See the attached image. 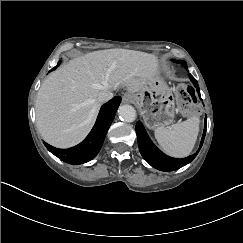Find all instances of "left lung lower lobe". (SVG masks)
Returning a JSON list of instances; mask_svg holds the SVG:
<instances>
[{"mask_svg": "<svg viewBox=\"0 0 243 243\" xmlns=\"http://www.w3.org/2000/svg\"><path fill=\"white\" fill-rule=\"evenodd\" d=\"M182 65H184V67L187 68L186 62H183ZM188 75L200 96L198 82L190 73ZM206 121L207 120L205 118V128L198 151L195 154L183 159L172 158L162 153L150 140L149 136L147 135L143 127V124L140 121H138L136 124V134L141 155L152 167L161 171H174L185 166L196 157V155L202 147L206 134Z\"/></svg>", "mask_w": 243, "mask_h": 243, "instance_id": "obj_1", "label": "left lung lower lobe"}]
</instances>
